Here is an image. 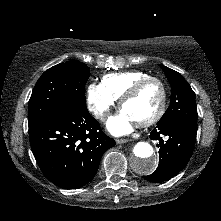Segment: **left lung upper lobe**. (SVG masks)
<instances>
[{
	"label": "left lung upper lobe",
	"instance_id": "obj_1",
	"mask_svg": "<svg viewBox=\"0 0 221 221\" xmlns=\"http://www.w3.org/2000/svg\"><path fill=\"white\" fill-rule=\"evenodd\" d=\"M168 78L172 95L170 107L164 113L158 123H181L187 129L197 133V108L195 102V93L188 82L177 71L164 65H160Z\"/></svg>",
	"mask_w": 221,
	"mask_h": 221
}]
</instances>
